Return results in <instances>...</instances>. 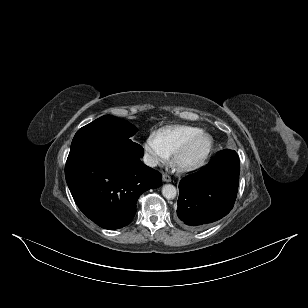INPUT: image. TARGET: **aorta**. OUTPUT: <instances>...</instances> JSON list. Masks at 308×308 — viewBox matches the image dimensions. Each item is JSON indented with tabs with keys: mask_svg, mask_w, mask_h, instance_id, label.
<instances>
[{
	"mask_svg": "<svg viewBox=\"0 0 308 308\" xmlns=\"http://www.w3.org/2000/svg\"><path fill=\"white\" fill-rule=\"evenodd\" d=\"M162 194L166 199H174L177 194V190L172 184H165L162 187Z\"/></svg>",
	"mask_w": 308,
	"mask_h": 308,
	"instance_id": "obj_1",
	"label": "aorta"
}]
</instances>
